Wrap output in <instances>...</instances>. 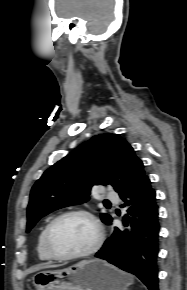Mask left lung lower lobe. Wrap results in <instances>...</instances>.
<instances>
[{"label": "left lung lower lobe", "instance_id": "left-lung-lower-lobe-1", "mask_svg": "<svg viewBox=\"0 0 187 290\" xmlns=\"http://www.w3.org/2000/svg\"><path fill=\"white\" fill-rule=\"evenodd\" d=\"M120 197L125 202L123 206L128 207L123 219L128 228L115 227L95 256L136 275L149 290H158L160 225L155 191L148 176L143 175Z\"/></svg>", "mask_w": 187, "mask_h": 290}]
</instances>
